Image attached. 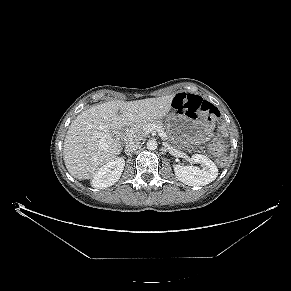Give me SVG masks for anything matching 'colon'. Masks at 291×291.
Here are the masks:
<instances>
[{
    "mask_svg": "<svg viewBox=\"0 0 291 291\" xmlns=\"http://www.w3.org/2000/svg\"><path fill=\"white\" fill-rule=\"evenodd\" d=\"M173 108L180 114L189 117L204 115L209 118L219 117V110L212 103L199 96L178 94L173 100ZM211 152L215 155L218 165L223 166L227 162L225 154L226 146L222 140H215L210 145Z\"/></svg>",
    "mask_w": 291,
    "mask_h": 291,
    "instance_id": "obj_1",
    "label": "colon"
}]
</instances>
